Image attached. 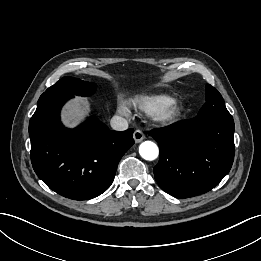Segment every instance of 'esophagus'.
<instances>
[{
    "instance_id": "obj_1",
    "label": "esophagus",
    "mask_w": 261,
    "mask_h": 261,
    "mask_svg": "<svg viewBox=\"0 0 261 261\" xmlns=\"http://www.w3.org/2000/svg\"><path fill=\"white\" fill-rule=\"evenodd\" d=\"M133 138L136 143H140L145 138V136H144V133L140 129H137L133 133Z\"/></svg>"
}]
</instances>
